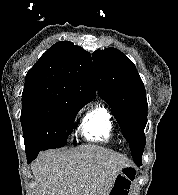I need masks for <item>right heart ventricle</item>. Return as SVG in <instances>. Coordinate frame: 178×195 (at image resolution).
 I'll return each instance as SVG.
<instances>
[{
    "label": "right heart ventricle",
    "mask_w": 178,
    "mask_h": 195,
    "mask_svg": "<svg viewBox=\"0 0 178 195\" xmlns=\"http://www.w3.org/2000/svg\"><path fill=\"white\" fill-rule=\"evenodd\" d=\"M84 139L104 144L117 141V131L111 112L101 104L90 108L80 123Z\"/></svg>",
    "instance_id": "obj_1"
}]
</instances>
